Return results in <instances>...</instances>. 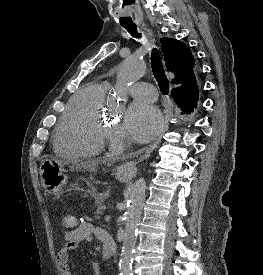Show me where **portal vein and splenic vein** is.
Segmentation results:
<instances>
[{"mask_svg":"<svg viewBox=\"0 0 263 275\" xmlns=\"http://www.w3.org/2000/svg\"><path fill=\"white\" fill-rule=\"evenodd\" d=\"M105 220H106V221H109V220H110V216L107 215V216L105 217Z\"/></svg>","mask_w":263,"mask_h":275,"instance_id":"portal-vein-and-splenic-vein-1","label":"portal vein and splenic vein"}]
</instances>
